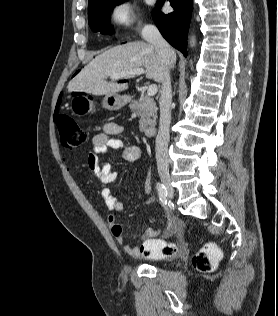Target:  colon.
I'll list each match as a JSON object with an SVG mask.
<instances>
[{"label": "colon", "mask_w": 278, "mask_h": 316, "mask_svg": "<svg viewBox=\"0 0 278 316\" xmlns=\"http://www.w3.org/2000/svg\"><path fill=\"white\" fill-rule=\"evenodd\" d=\"M55 122L61 144L65 148H76L86 142L87 133L73 118L59 114ZM140 251L148 257H170L177 253V246L163 240H148L142 244ZM220 258V249L214 243H208L193 255L192 265L197 271L207 273L216 268Z\"/></svg>", "instance_id": "obj_1"}]
</instances>
